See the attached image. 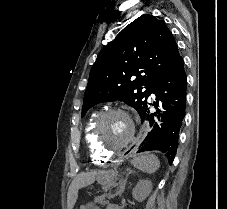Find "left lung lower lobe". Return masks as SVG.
Segmentation results:
<instances>
[{
	"label": "left lung lower lobe",
	"instance_id": "obj_1",
	"mask_svg": "<svg viewBox=\"0 0 227 209\" xmlns=\"http://www.w3.org/2000/svg\"><path fill=\"white\" fill-rule=\"evenodd\" d=\"M186 84L184 61L179 56L162 76L153 92L157 101L153 103L149 101L140 114L141 121L149 120L153 128L138 147L137 152L160 150L166 153L169 163L173 162L178 148L179 130L185 116ZM158 100L162 102V107L165 110L163 114H160L159 111L150 112V106L157 107ZM154 116H157L158 123H155Z\"/></svg>",
	"mask_w": 227,
	"mask_h": 209
}]
</instances>
